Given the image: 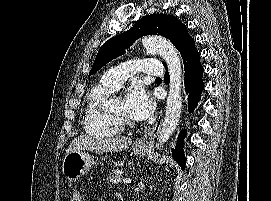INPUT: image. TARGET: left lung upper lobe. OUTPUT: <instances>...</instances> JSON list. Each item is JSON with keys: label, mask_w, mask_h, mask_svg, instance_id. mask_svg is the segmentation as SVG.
<instances>
[{"label": "left lung upper lobe", "mask_w": 271, "mask_h": 201, "mask_svg": "<svg viewBox=\"0 0 271 201\" xmlns=\"http://www.w3.org/2000/svg\"><path fill=\"white\" fill-rule=\"evenodd\" d=\"M157 34L169 39L179 50L192 38L187 27L176 17L167 14H151L139 19L133 27L125 33L112 37L99 49L89 75L96 73L104 65L124 54L139 37Z\"/></svg>", "instance_id": "1"}]
</instances>
